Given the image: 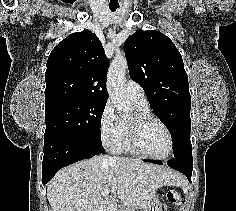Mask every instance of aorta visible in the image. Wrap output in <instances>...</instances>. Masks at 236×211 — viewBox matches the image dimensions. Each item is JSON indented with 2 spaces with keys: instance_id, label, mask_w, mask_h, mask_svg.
<instances>
[{
  "instance_id": "obj_1",
  "label": "aorta",
  "mask_w": 236,
  "mask_h": 211,
  "mask_svg": "<svg viewBox=\"0 0 236 211\" xmlns=\"http://www.w3.org/2000/svg\"><path fill=\"white\" fill-rule=\"evenodd\" d=\"M127 68L126 58L120 57L112 61L108 71L107 90L119 112H127L130 107V103L124 95V77Z\"/></svg>"
}]
</instances>
